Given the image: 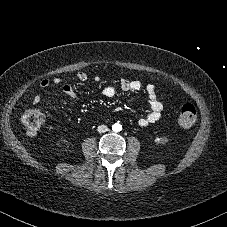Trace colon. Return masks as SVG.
Returning <instances> with one entry per match:
<instances>
[{
  "mask_svg": "<svg viewBox=\"0 0 227 227\" xmlns=\"http://www.w3.org/2000/svg\"><path fill=\"white\" fill-rule=\"evenodd\" d=\"M197 120V110L193 104L186 103L180 109L178 122L183 127H191ZM45 122V115L37 109H29L21 117V124L29 135H37Z\"/></svg>",
  "mask_w": 227,
  "mask_h": 227,
  "instance_id": "colon-1",
  "label": "colon"
}]
</instances>
